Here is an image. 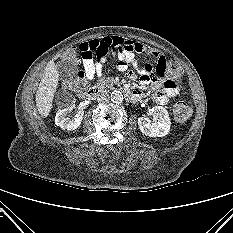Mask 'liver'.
I'll list each match as a JSON object with an SVG mask.
<instances>
[{
	"mask_svg": "<svg viewBox=\"0 0 233 233\" xmlns=\"http://www.w3.org/2000/svg\"><path fill=\"white\" fill-rule=\"evenodd\" d=\"M59 74L53 60L48 62L36 92V107L42 117H47L52 108Z\"/></svg>",
	"mask_w": 233,
	"mask_h": 233,
	"instance_id": "6515ba94",
	"label": "liver"
}]
</instances>
